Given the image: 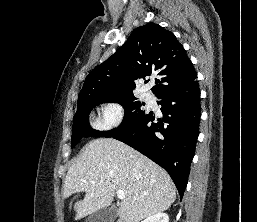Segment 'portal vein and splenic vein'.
Here are the masks:
<instances>
[{
  "label": "portal vein and splenic vein",
  "mask_w": 257,
  "mask_h": 222,
  "mask_svg": "<svg viewBox=\"0 0 257 222\" xmlns=\"http://www.w3.org/2000/svg\"><path fill=\"white\" fill-rule=\"evenodd\" d=\"M92 183H94V182H92ZM117 197H118L119 199L125 198V193H124V191L118 190V191H117Z\"/></svg>",
  "instance_id": "1"
}]
</instances>
